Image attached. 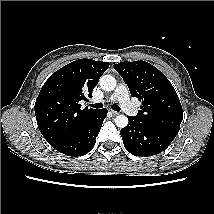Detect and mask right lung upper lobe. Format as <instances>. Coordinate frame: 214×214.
I'll list each match as a JSON object with an SVG mask.
<instances>
[{"label": "right lung upper lobe", "mask_w": 214, "mask_h": 214, "mask_svg": "<svg viewBox=\"0 0 214 214\" xmlns=\"http://www.w3.org/2000/svg\"><path fill=\"white\" fill-rule=\"evenodd\" d=\"M109 63L79 59L53 73L43 85L35 103L41 134L53 146L97 110L81 109L80 101L92 96L93 88Z\"/></svg>", "instance_id": "1"}]
</instances>
